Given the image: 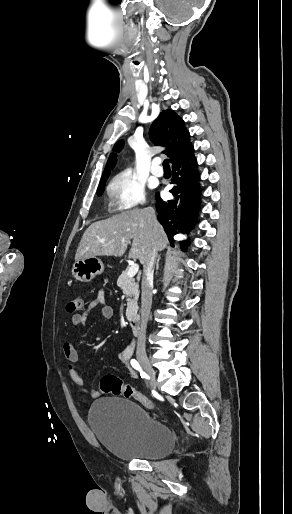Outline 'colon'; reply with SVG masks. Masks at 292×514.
Masks as SVG:
<instances>
[{
  "instance_id": "obj_1",
  "label": "colon",
  "mask_w": 292,
  "mask_h": 514,
  "mask_svg": "<svg viewBox=\"0 0 292 514\" xmlns=\"http://www.w3.org/2000/svg\"><path fill=\"white\" fill-rule=\"evenodd\" d=\"M84 307V298L81 295L75 296L71 301L68 302L66 309L69 313H76L82 311ZM100 389L104 393H110L113 396H124L125 398L133 397V399L149 409H156L157 405L149 397L142 395L140 392L135 391L133 384H126L119 377L106 374L99 382Z\"/></svg>"
}]
</instances>
